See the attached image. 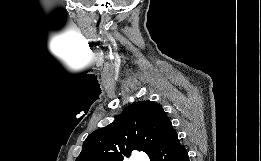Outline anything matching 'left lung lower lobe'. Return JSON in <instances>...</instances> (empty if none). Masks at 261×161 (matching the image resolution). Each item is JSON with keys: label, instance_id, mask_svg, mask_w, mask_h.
Returning a JSON list of instances; mask_svg holds the SVG:
<instances>
[{"label": "left lung lower lobe", "instance_id": "left-lung-lower-lobe-1", "mask_svg": "<svg viewBox=\"0 0 261 161\" xmlns=\"http://www.w3.org/2000/svg\"><path fill=\"white\" fill-rule=\"evenodd\" d=\"M148 156L151 161H189L188 152L179 143L176 131Z\"/></svg>", "mask_w": 261, "mask_h": 161}]
</instances>
